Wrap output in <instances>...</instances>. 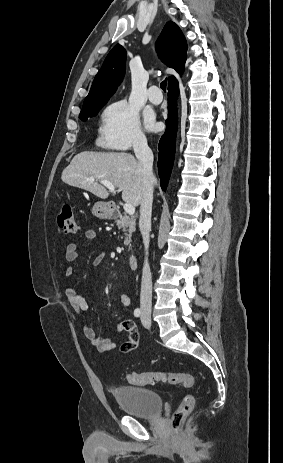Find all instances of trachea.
I'll return each mask as SVG.
<instances>
[{"label":"trachea","mask_w":283,"mask_h":463,"mask_svg":"<svg viewBox=\"0 0 283 463\" xmlns=\"http://www.w3.org/2000/svg\"><path fill=\"white\" fill-rule=\"evenodd\" d=\"M167 79L163 80L160 84L161 89L166 92Z\"/></svg>","instance_id":"trachea-1"}]
</instances>
